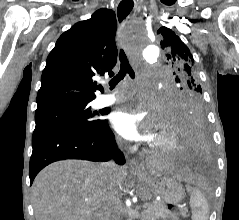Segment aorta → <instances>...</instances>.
Here are the masks:
<instances>
[{
	"label": "aorta",
	"mask_w": 239,
	"mask_h": 220,
	"mask_svg": "<svg viewBox=\"0 0 239 220\" xmlns=\"http://www.w3.org/2000/svg\"><path fill=\"white\" fill-rule=\"evenodd\" d=\"M126 40H145L143 39V33H127ZM128 46H138V48H143V58L146 61H151L158 57L159 48L157 45H127Z\"/></svg>",
	"instance_id": "1"
}]
</instances>
